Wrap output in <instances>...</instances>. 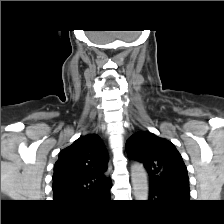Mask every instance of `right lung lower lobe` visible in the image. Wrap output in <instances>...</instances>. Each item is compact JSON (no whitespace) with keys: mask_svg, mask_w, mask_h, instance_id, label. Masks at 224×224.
Masks as SVG:
<instances>
[{"mask_svg":"<svg viewBox=\"0 0 224 224\" xmlns=\"http://www.w3.org/2000/svg\"><path fill=\"white\" fill-rule=\"evenodd\" d=\"M104 198L110 199V193L107 196H105Z\"/></svg>","mask_w":224,"mask_h":224,"instance_id":"obj_1","label":"right lung lower lobe"}]
</instances>
